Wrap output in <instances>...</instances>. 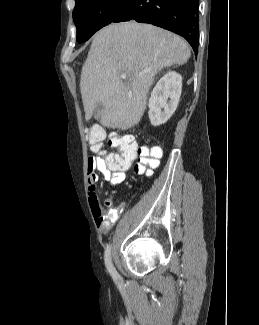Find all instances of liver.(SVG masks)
Segmentation results:
<instances>
[{"label": "liver", "mask_w": 259, "mask_h": 325, "mask_svg": "<svg viewBox=\"0 0 259 325\" xmlns=\"http://www.w3.org/2000/svg\"><path fill=\"white\" fill-rule=\"evenodd\" d=\"M191 55L178 35L136 21L112 23L93 37L82 67L80 91L85 118L95 114L102 126L127 130L141 120L155 75L185 64ZM126 75V80L121 78Z\"/></svg>", "instance_id": "obj_1"}]
</instances>
